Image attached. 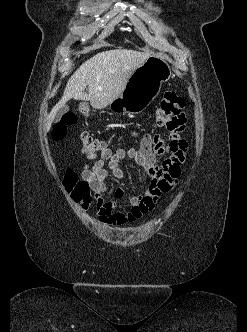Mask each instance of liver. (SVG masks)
Masks as SVG:
<instances>
[{
	"label": "liver",
	"instance_id": "liver-1",
	"mask_svg": "<svg viewBox=\"0 0 247 332\" xmlns=\"http://www.w3.org/2000/svg\"><path fill=\"white\" fill-rule=\"evenodd\" d=\"M151 54L129 49L100 52L85 61L70 77L64 95L47 116L49 131L58 110L70 99L90 101L95 109L107 107L125 89L128 79ZM88 86V93L84 89Z\"/></svg>",
	"mask_w": 247,
	"mask_h": 332
}]
</instances>
